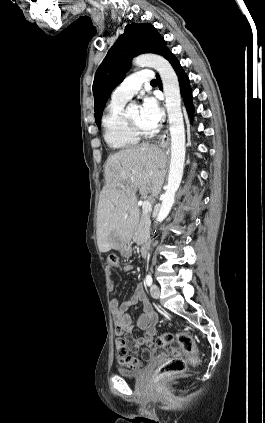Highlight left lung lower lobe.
<instances>
[{
  "label": "left lung lower lobe",
  "instance_id": "1",
  "mask_svg": "<svg viewBox=\"0 0 265 423\" xmlns=\"http://www.w3.org/2000/svg\"><path fill=\"white\" fill-rule=\"evenodd\" d=\"M164 57L171 63V65L173 66L174 70L176 71L178 75L181 94L183 96L187 112L189 113L190 117H192L194 108L192 105V93H191V88L189 85L188 76L183 71L178 60L174 57V55L169 50L164 54ZM158 81H159V87L161 89V81L159 76H158Z\"/></svg>",
  "mask_w": 265,
  "mask_h": 423
}]
</instances>
